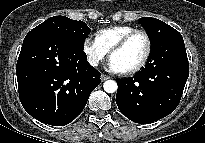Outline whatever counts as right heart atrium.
Wrapping results in <instances>:
<instances>
[{
    "mask_svg": "<svg viewBox=\"0 0 205 143\" xmlns=\"http://www.w3.org/2000/svg\"><path fill=\"white\" fill-rule=\"evenodd\" d=\"M83 52L88 63L91 66H98L107 56L108 51L97 41L91 37L85 38L83 42Z\"/></svg>",
    "mask_w": 205,
    "mask_h": 143,
    "instance_id": "1",
    "label": "right heart atrium"
}]
</instances>
